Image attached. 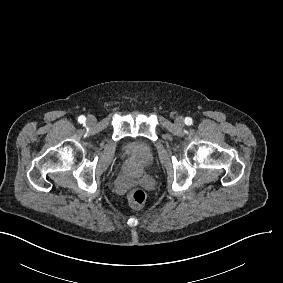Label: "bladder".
<instances>
[{
    "label": "bladder",
    "mask_w": 283,
    "mask_h": 283,
    "mask_svg": "<svg viewBox=\"0 0 283 283\" xmlns=\"http://www.w3.org/2000/svg\"><path fill=\"white\" fill-rule=\"evenodd\" d=\"M124 157L135 162L139 169H146L154 162V146L149 140H128L121 147ZM134 175H139L134 173Z\"/></svg>",
    "instance_id": "obj_1"
}]
</instances>
